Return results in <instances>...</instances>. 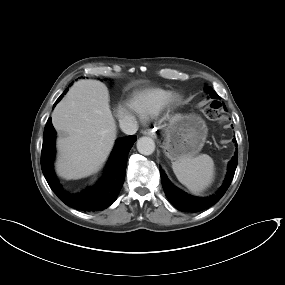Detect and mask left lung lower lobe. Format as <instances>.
I'll use <instances>...</instances> for the list:
<instances>
[{
  "label": "left lung lower lobe",
  "mask_w": 285,
  "mask_h": 285,
  "mask_svg": "<svg viewBox=\"0 0 285 285\" xmlns=\"http://www.w3.org/2000/svg\"><path fill=\"white\" fill-rule=\"evenodd\" d=\"M233 141L236 143V139H233ZM237 146V143H236ZM238 150H236L235 155L231 159V161L228 164V171L226 178L224 180V183L222 187L219 189V191L210 197L205 198H199V197H193L191 195H188L187 193H184L177 187H175L166 177L164 171L162 168H160V175H161V181L162 186L164 189V192L168 198V200L180 211L184 212H198L204 209H207L208 207L212 206L216 202L219 201L220 198L225 194L227 188L229 187L233 177L234 173L237 167V161H238Z\"/></svg>",
  "instance_id": "left-lung-lower-lobe-1"
}]
</instances>
